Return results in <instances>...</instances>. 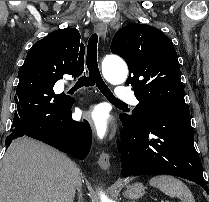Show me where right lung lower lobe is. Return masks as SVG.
Masks as SVG:
<instances>
[{
    "mask_svg": "<svg viewBox=\"0 0 209 202\" xmlns=\"http://www.w3.org/2000/svg\"><path fill=\"white\" fill-rule=\"evenodd\" d=\"M74 99L56 95L35 78L19 79L11 134L6 147L13 139L27 135L56 149L85 159L91 146V129L87 122H76L71 117Z\"/></svg>",
    "mask_w": 209,
    "mask_h": 202,
    "instance_id": "obj_1",
    "label": "right lung lower lobe"
}]
</instances>
